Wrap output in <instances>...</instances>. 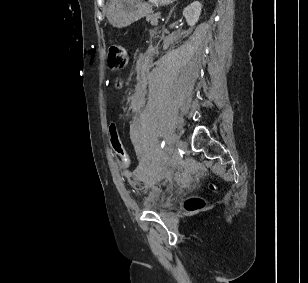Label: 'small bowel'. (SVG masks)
Wrapping results in <instances>:
<instances>
[{
  "instance_id": "small-bowel-1",
  "label": "small bowel",
  "mask_w": 308,
  "mask_h": 283,
  "mask_svg": "<svg viewBox=\"0 0 308 283\" xmlns=\"http://www.w3.org/2000/svg\"><path fill=\"white\" fill-rule=\"evenodd\" d=\"M145 104V94L142 91H135L130 98V108L134 112H138Z\"/></svg>"
}]
</instances>
